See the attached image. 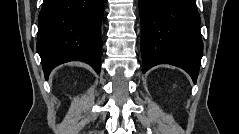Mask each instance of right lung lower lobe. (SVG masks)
Wrapping results in <instances>:
<instances>
[{
  "mask_svg": "<svg viewBox=\"0 0 239 134\" xmlns=\"http://www.w3.org/2000/svg\"><path fill=\"white\" fill-rule=\"evenodd\" d=\"M104 0H44L37 52L47 79L59 64L79 60L99 73Z\"/></svg>",
  "mask_w": 239,
  "mask_h": 134,
  "instance_id": "98d812e1",
  "label": "right lung lower lobe"
}]
</instances>
